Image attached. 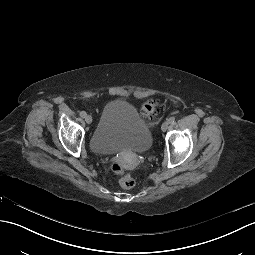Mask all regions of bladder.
Returning a JSON list of instances; mask_svg holds the SVG:
<instances>
[{"label":"bladder","instance_id":"obj_1","mask_svg":"<svg viewBox=\"0 0 255 255\" xmlns=\"http://www.w3.org/2000/svg\"><path fill=\"white\" fill-rule=\"evenodd\" d=\"M152 144V132L132 104L116 99L107 104L91 138L92 150L112 154L128 150L146 153Z\"/></svg>","mask_w":255,"mask_h":255}]
</instances>
